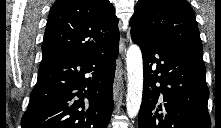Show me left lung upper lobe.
Returning a JSON list of instances; mask_svg holds the SVG:
<instances>
[{
  "mask_svg": "<svg viewBox=\"0 0 221 128\" xmlns=\"http://www.w3.org/2000/svg\"><path fill=\"white\" fill-rule=\"evenodd\" d=\"M140 40H162L203 58L194 11L187 0H139L130 20Z\"/></svg>",
  "mask_w": 221,
  "mask_h": 128,
  "instance_id": "left-lung-upper-lobe-1",
  "label": "left lung upper lobe"
}]
</instances>
